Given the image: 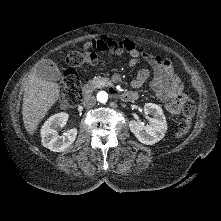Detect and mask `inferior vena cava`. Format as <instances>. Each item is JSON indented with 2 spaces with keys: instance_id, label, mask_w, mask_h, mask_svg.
Returning <instances> with one entry per match:
<instances>
[{
  "instance_id": "obj_1",
  "label": "inferior vena cava",
  "mask_w": 221,
  "mask_h": 221,
  "mask_svg": "<svg viewBox=\"0 0 221 221\" xmlns=\"http://www.w3.org/2000/svg\"><path fill=\"white\" fill-rule=\"evenodd\" d=\"M96 98L93 95H87L83 98V106L86 108H91L95 105Z\"/></svg>"
}]
</instances>
